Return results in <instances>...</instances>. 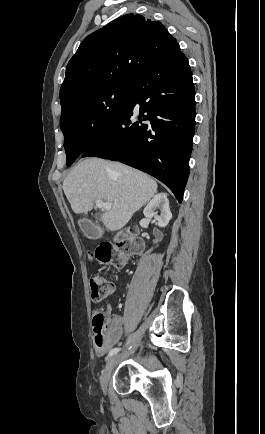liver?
<instances>
[{"mask_svg": "<svg viewBox=\"0 0 265 434\" xmlns=\"http://www.w3.org/2000/svg\"><path fill=\"white\" fill-rule=\"evenodd\" d=\"M63 190L75 214L90 212L95 200L112 202L110 212L101 214V220L107 230L115 232L153 198L157 182L119 162L84 158L66 176Z\"/></svg>", "mask_w": 265, "mask_h": 434, "instance_id": "6515ba94", "label": "liver"}]
</instances>
